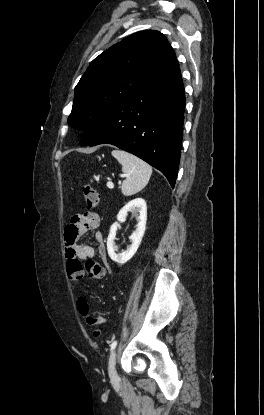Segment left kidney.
<instances>
[{
    "instance_id": "1",
    "label": "left kidney",
    "mask_w": 264,
    "mask_h": 415,
    "mask_svg": "<svg viewBox=\"0 0 264 415\" xmlns=\"http://www.w3.org/2000/svg\"><path fill=\"white\" fill-rule=\"evenodd\" d=\"M129 211L139 213V216L137 218L138 223L136 226V230L130 236L132 244L127 248V250L121 253H116L117 251V247L115 246L116 231L119 226V223L125 220ZM146 220H147V206H146L145 200L142 198H136V199L131 200L119 211L117 215V221L119 223L115 222L114 224H112L108 238H107L108 255L114 262L118 264H124L134 256L137 249L139 248L142 237L144 235L145 228H146Z\"/></svg>"
}]
</instances>
